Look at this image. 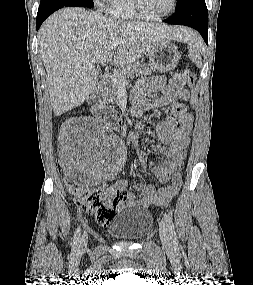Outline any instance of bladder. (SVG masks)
I'll return each mask as SVG.
<instances>
[{
	"label": "bladder",
	"instance_id": "obj_1",
	"mask_svg": "<svg viewBox=\"0 0 253 285\" xmlns=\"http://www.w3.org/2000/svg\"><path fill=\"white\" fill-rule=\"evenodd\" d=\"M153 224L152 213L144 207L127 206L119 210L107 227L108 234L118 240L135 241L143 238Z\"/></svg>",
	"mask_w": 253,
	"mask_h": 285
}]
</instances>
